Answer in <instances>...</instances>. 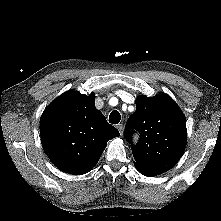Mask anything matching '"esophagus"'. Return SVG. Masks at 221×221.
<instances>
[{
	"label": "esophagus",
	"instance_id": "1",
	"mask_svg": "<svg viewBox=\"0 0 221 221\" xmlns=\"http://www.w3.org/2000/svg\"><path fill=\"white\" fill-rule=\"evenodd\" d=\"M117 129L119 130L120 134L123 135V132H124L123 124H118Z\"/></svg>",
	"mask_w": 221,
	"mask_h": 221
}]
</instances>
